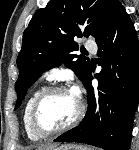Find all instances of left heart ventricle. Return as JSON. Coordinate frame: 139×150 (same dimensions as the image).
<instances>
[{
	"label": "left heart ventricle",
	"instance_id": "left-heart-ventricle-1",
	"mask_svg": "<svg viewBox=\"0 0 139 150\" xmlns=\"http://www.w3.org/2000/svg\"><path fill=\"white\" fill-rule=\"evenodd\" d=\"M78 109L77 97L69 91L49 95L38 113V123L43 129H56L68 124Z\"/></svg>",
	"mask_w": 139,
	"mask_h": 150
}]
</instances>
